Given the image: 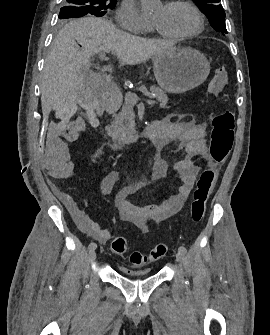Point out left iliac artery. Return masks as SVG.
<instances>
[{"label":"left iliac artery","mask_w":270,"mask_h":335,"mask_svg":"<svg viewBox=\"0 0 270 335\" xmlns=\"http://www.w3.org/2000/svg\"><path fill=\"white\" fill-rule=\"evenodd\" d=\"M178 251L181 252V253H183V254H186V253H187V249H186L184 246H180V247L178 248Z\"/></svg>","instance_id":"44dca946"}]
</instances>
